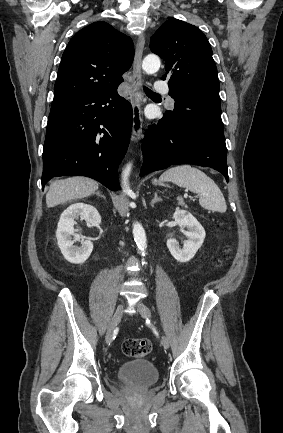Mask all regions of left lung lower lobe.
I'll return each instance as SVG.
<instances>
[{"mask_svg":"<svg viewBox=\"0 0 283 433\" xmlns=\"http://www.w3.org/2000/svg\"><path fill=\"white\" fill-rule=\"evenodd\" d=\"M142 150L140 176L171 165L194 164L214 168L228 181L224 132L206 120L173 118L165 113L149 128Z\"/></svg>","mask_w":283,"mask_h":433,"instance_id":"1","label":"left lung lower lobe"}]
</instances>
